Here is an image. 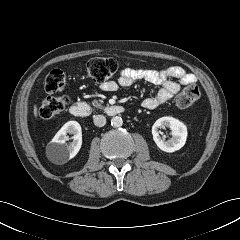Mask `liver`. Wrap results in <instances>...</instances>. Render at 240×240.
Masks as SVG:
<instances>
[{
	"label": "liver",
	"instance_id": "1",
	"mask_svg": "<svg viewBox=\"0 0 240 240\" xmlns=\"http://www.w3.org/2000/svg\"><path fill=\"white\" fill-rule=\"evenodd\" d=\"M34 115L37 117V107H34Z\"/></svg>",
	"mask_w": 240,
	"mask_h": 240
}]
</instances>
